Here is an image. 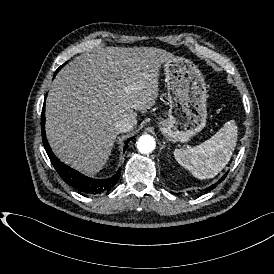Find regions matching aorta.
<instances>
[{"instance_id": "aorta-1", "label": "aorta", "mask_w": 274, "mask_h": 274, "mask_svg": "<svg viewBox=\"0 0 274 274\" xmlns=\"http://www.w3.org/2000/svg\"><path fill=\"white\" fill-rule=\"evenodd\" d=\"M155 140L150 135H143L137 141V149L142 154H148L155 149Z\"/></svg>"}]
</instances>
